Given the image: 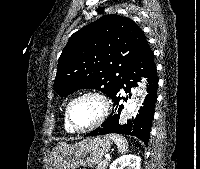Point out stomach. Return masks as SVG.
<instances>
[{
  "mask_svg": "<svg viewBox=\"0 0 200 169\" xmlns=\"http://www.w3.org/2000/svg\"><path fill=\"white\" fill-rule=\"evenodd\" d=\"M110 146L108 137L87 138L74 145L58 146L51 153V164L53 169L93 166L102 160Z\"/></svg>",
  "mask_w": 200,
  "mask_h": 169,
  "instance_id": "0dacf381",
  "label": "stomach"
}]
</instances>
